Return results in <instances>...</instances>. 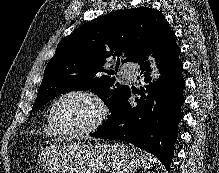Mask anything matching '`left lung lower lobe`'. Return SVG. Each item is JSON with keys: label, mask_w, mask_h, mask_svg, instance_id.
I'll return each instance as SVG.
<instances>
[{"label": "left lung lower lobe", "mask_w": 219, "mask_h": 173, "mask_svg": "<svg viewBox=\"0 0 219 173\" xmlns=\"http://www.w3.org/2000/svg\"><path fill=\"white\" fill-rule=\"evenodd\" d=\"M147 53H153L162 76L156 84L150 83L149 63L142 55L135 63L140 65L143 81L150 83L138 92L142 97L131 104L128 101L131 96L129 89L112 115L91 136L132 143L154 154L168 170L174 155L177 125L182 118V89L185 85L181 75L180 48L174 32Z\"/></svg>", "instance_id": "0a47b994"}]
</instances>
